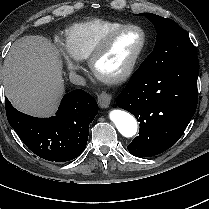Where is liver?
<instances>
[{
  "instance_id": "liver-1",
  "label": "liver",
  "mask_w": 209,
  "mask_h": 209,
  "mask_svg": "<svg viewBox=\"0 0 209 209\" xmlns=\"http://www.w3.org/2000/svg\"><path fill=\"white\" fill-rule=\"evenodd\" d=\"M5 94L18 110L48 117L64 92L62 63L57 49L44 37L15 41L2 70Z\"/></svg>"
}]
</instances>
